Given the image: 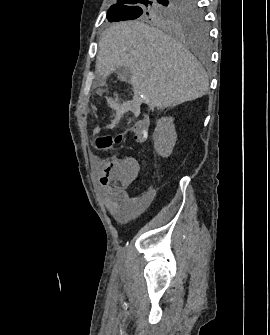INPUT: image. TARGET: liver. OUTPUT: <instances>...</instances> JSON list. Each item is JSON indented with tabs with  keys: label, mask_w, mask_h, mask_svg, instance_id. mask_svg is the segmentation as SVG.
I'll use <instances>...</instances> for the list:
<instances>
[{
	"label": "liver",
	"mask_w": 270,
	"mask_h": 335,
	"mask_svg": "<svg viewBox=\"0 0 270 335\" xmlns=\"http://www.w3.org/2000/svg\"><path fill=\"white\" fill-rule=\"evenodd\" d=\"M96 68L108 78L118 68H130L135 96L151 108H169L204 96V68L183 44L144 22L112 24L99 40Z\"/></svg>",
	"instance_id": "1"
}]
</instances>
